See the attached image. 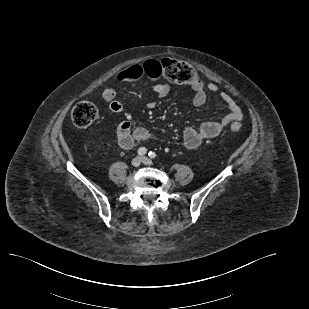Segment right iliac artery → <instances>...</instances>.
<instances>
[{"instance_id": "82829eb1", "label": "right iliac artery", "mask_w": 309, "mask_h": 309, "mask_svg": "<svg viewBox=\"0 0 309 309\" xmlns=\"http://www.w3.org/2000/svg\"><path fill=\"white\" fill-rule=\"evenodd\" d=\"M138 155H145L147 153V149L145 147H140L137 151Z\"/></svg>"}]
</instances>
